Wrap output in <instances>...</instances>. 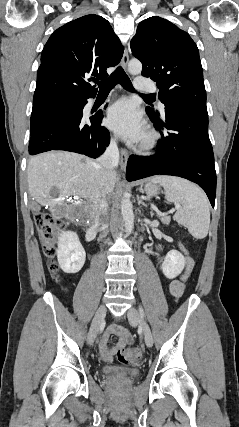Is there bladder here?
<instances>
[{"label": "bladder", "mask_w": 239, "mask_h": 427, "mask_svg": "<svg viewBox=\"0 0 239 427\" xmlns=\"http://www.w3.org/2000/svg\"><path fill=\"white\" fill-rule=\"evenodd\" d=\"M103 372L106 375L117 377V378H135L138 376V372L134 370H123L119 368H104Z\"/></svg>", "instance_id": "obj_1"}]
</instances>
